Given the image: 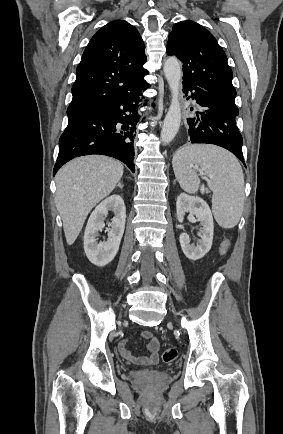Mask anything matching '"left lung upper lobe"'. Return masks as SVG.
Listing matches in <instances>:
<instances>
[{"label":"left lung upper lobe","mask_w":283,"mask_h":434,"mask_svg":"<svg viewBox=\"0 0 283 434\" xmlns=\"http://www.w3.org/2000/svg\"><path fill=\"white\" fill-rule=\"evenodd\" d=\"M167 54L183 62V81L235 103L236 90L226 54L203 26L190 20L176 23L169 34Z\"/></svg>","instance_id":"obj_1"}]
</instances>
